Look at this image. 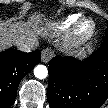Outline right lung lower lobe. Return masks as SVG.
<instances>
[{
    "instance_id": "right-lung-lower-lobe-1",
    "label": "right lung lower lobe",
    "mask_w": 108,
    "mask_h": 108,
    "mask_svg": "<svg viewBox=\"0 0 108 108\" xmlns=\"http://www.w3.org/2000/svg\"><path fill=\"white\" fill-rule=\"evenodd\" d=\"M40 63V51L24 53L8 49L0 53V107L8 108L15 102L22 78Z\"/></svg>"
}]
</instances>
